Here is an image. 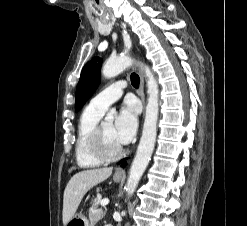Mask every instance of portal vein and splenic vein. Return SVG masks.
Returning a JSON list of instances; mask_svg holds the SVG:
<instances>
[{
    "label": "portal vein and splenic vein",
    "instance_id": "18ae733b",
    "mask_svg": "<svg viewBox=\"0 0 247 226\" xmlns=\"http://www.w3.org/2000/svg\"><path fill=\"white\" fill-rule=\"evenodd\" d=\"M108 203H109V199H107V198H105V199H103V200L101 201V205H102V206H106V205H108Z\"/></svg>",
    "mask_w": 247,
    "mask_h": 226
}]
</instances>
